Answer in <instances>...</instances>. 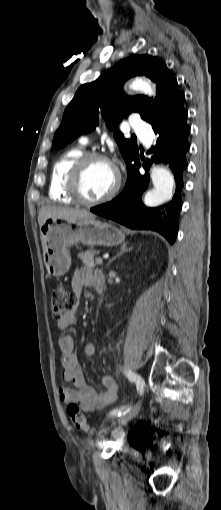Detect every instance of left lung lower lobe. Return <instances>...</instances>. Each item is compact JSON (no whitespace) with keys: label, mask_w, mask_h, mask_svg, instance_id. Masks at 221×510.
<instances>
[{"label":"left lung lower lobe","mask_w":221,"mask_h":510,"mask_svg":"<svg viewBox=\"0 0 221 510\" xmlns=\"http://www.w3.org/2000/svg\"><path fill=\"white\" fill-rule=\"evenodd\" d=\"M186 117L187 113H184L174 120L153 126L157 141L149 151L153 154L152 157L143 162L145 175L139 172L141 163L137 156L127 165V181L122 193L108 203L91 208L90 211L131 229L157 231L171 244L174 243L182 205V174L187 167L185 155L190 148V127ZM154 162L169 166L175 178L176 190L168 204L148 208L143 205L141 195L149 185L148 170Z\"/></svg>","instance_id":"0a47b994"}]
</instances>
